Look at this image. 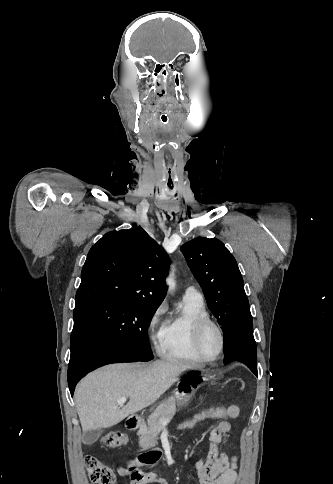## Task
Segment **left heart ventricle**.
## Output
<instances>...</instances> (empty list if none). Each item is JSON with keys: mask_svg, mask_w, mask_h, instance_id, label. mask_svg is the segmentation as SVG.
I'll list each match as a JSON object with an SVG mask.
<instances>
[{"mask_svg": "<svg viewBox=\"0 0 333 484\" xmlns=\"http://www.w3.org/2000/svg\"><path fill=\"white\" fill-rule=\"evenodd\" d=\"M219 346L220 342L217 331L214 328L209 327L202 338V349L204 353L209 357H213L217 354Z\"/></svg>", "mask_w": 333, "mask_h": 484, "instance_id": "left-heart-ventricle-1", "label": "left heart ventricle"}]
</instances>
